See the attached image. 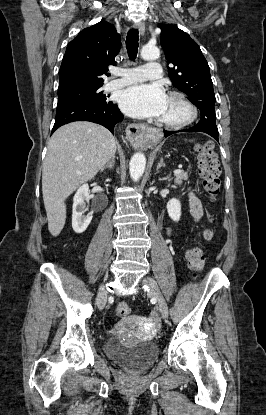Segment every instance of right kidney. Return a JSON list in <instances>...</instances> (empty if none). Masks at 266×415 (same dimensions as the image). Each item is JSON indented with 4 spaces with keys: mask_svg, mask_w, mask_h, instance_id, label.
Returning a JSON list of instances; mask_svg holds the SVG:
<instances>
[{
    "mask_svg": "<svg viewBox=\"0 0 266 415\" xmlns=\"http://www.w3.org/2000/svg\"><path fill=\"white\" fill-rule=\"evenodd\" d=\"M89 198V186L83 184L78 188L73 198L72 228L76 233H83L92 220V214L84 215L85 200Z\"/></svg>",
    "mask_w": 266,
    "mask_h": 415,
    "instance_id": "1",
    "label": "right kidney"
}]
</instances>
